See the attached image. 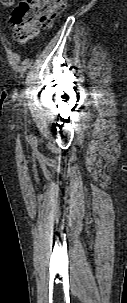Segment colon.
<instances>
[{
	"label": "colon",
	"instance_id": "colon-1",
	"mask_svg": "<svg viewBox=\"0 0 127 303\" xmlns=\"http://www.w3.org/2000/svg\"><path fill=\"white\" fill-rule=\"evenodd\" d=\"M10 6L14 0H1ZM66 0H23L13 10L10 23L14 28L17 42L25 43L33 39L39 29L50 28L53 18L64 9Z\"/></svg>",
	"mask_w": 127,
	"mask_h": 303
}]
</instances>
